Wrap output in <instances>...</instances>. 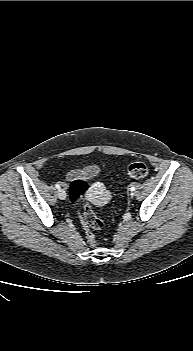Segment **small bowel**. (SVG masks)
<instances>
[{
    "instance_id": "small-bowel-1",
    "label": "small bowel",
    "mask_w": 193,
    "mask_h": 351,
    "mask_svg": "<svg viewBox=\"0 0 193 351\" xmlns=\"http://www.w3.org/2000/svg\"><path fill=\"white\" fill-rule=\"evenodd\" d=\"M98 173H99V167L96 165H93L82 170H75L70 172L67 175V179L70 181L77 178H90L97 175Z\"/></svg>"
}]
</instances>
